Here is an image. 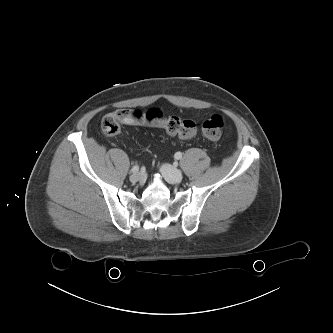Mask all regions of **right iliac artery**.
I'll use <instances>...</instances> for the list:
<instances>
[{"mask_svg": "<svg viewBox=\"0 0 333 333\" xmlns=\"http://www.w3.org/2000/svg\"><path fill=\"white\" fill-rule=\"evenodd\" d=\"M138 171H139V166L138 165L133 166L132 169H131V172H133V173H136Z\"/></svg>", "mask_w": 333, "mask_h": 333, "instance_id": "obj_1", "label": "right iliac artery"}]
</instances>
